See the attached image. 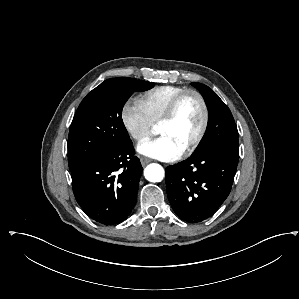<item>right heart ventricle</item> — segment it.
Instances as JSON below:
<instances>
[{"mask_svg":"<svg viewBox=\"0 0 299 299\" xmlns=\"http://www.w3.org/2000/svg\"><path fill=\"white\" fill-rule=\"evenodd\" d=\"M186 88L175 85H163L143 93L137 102L145 111L153 125L159 123L173 99Z\"/></svg>","mask_w":299,"mask_h":299,"instance_id":"1","label":"right heart ventricle"}]
</instances>
